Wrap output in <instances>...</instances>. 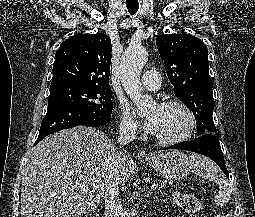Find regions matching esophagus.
Wrapping results in <instances>:
<instances>
[{"mask_svg":"<svg viewBox=\"0 0 255 217\" xmlns=\"http://www.w3.org/2000/svg\"><path fill=\"white\" fill-rule=\"evenodd\" d=\"M139 159H149V154L145 150H140L137 154Z\"/></svg>","mask_w":255,"mask_h":217,"instance_id":"34e87169","label":"esophagus"}]
</instances>
